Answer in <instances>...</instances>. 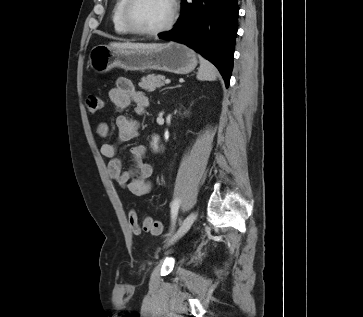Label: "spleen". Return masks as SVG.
<instances>
[{"label": "spleen", "mask_w": 363, "mask_h": 317, "mask_svg": "<svg viewBox=\"0 0 363 317\" xmlns=\"http://www.w3.org/2000/svg\"><path fill=\"white\" fill-rule=\"evenodd\" d=\"M199 61L200 67L198 69L197 79L200 81L216 80L218 76V70L216 67L202 56H199Z\"/></svg>", "instance_id": "obj_1"}]
</instances>
